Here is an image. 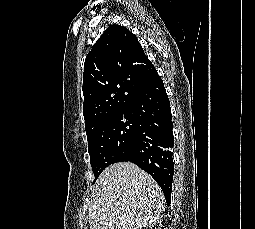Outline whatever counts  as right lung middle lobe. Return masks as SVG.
<instances>
[{
	"label": "right lung middle lobe",
	"instance_id": "dd1d6c3e",
	"mask_svg": "<svg viewBox=\"0 0 255 229\" xmlns=\"http://www.w3.org/2000/svg\"><path fill=\"white\" fill-rule=\"evenodd\" d=\"M137 128V119L128 111L122 110L101 124L88 138V153L96 179L109 165L127 161Z\"/></svg>",
	"mask_w": 255,
	"mask_h": 229
}]
</instances>
